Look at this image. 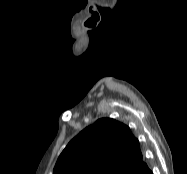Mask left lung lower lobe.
Listing matches in <instances>:
<instances>
[{
  "label": "left lung lower lobe",
  "instance_id": "0a47b994",
  "mask_svg": "<svg viewBox=\"0 0 187 174\" xmlns=\"http://www.w3.org/2000/svg\"><path fill=\"white\" fill-rule=\"evenodd\" d=\"M134 174H153V173L149 170L147 166L144 169H137V171Z\"/></svg>",
  "mask_w": 187,
  "mask_h": 174
}]
</instances>
